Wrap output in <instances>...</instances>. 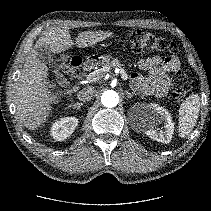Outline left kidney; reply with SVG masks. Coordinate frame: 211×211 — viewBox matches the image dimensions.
<instances>
[{"mask_svg":"<svg viewBox=\"0 0 211 211\" xmlns=\"http://www.w3.org/2000/svg\"><path fill=\"white\" fill-rule=\"evenodd\" d=\"M148 108L150 112L144 118L146 135L153 140L169 143L174 132V123L170 113L158 104L151 103ZM162 121L164 122V130H158L156 126Z\"/></svg>","mask_w":211,"mask_h":211,"instance_id":"obj_1","label":"left kidney"}]
</instances>
